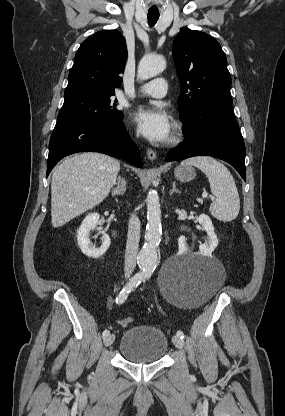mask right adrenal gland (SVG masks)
<instances>
[{"label": "right adrenal gland", "instance_id": "obj_1", "mask_svg": "<svg viewBox=\"0 0 285 416\" xmlns=\"http://www.w3.org/2000/svg\"><path fill=\"white\" fill-rule=\"evenodd\" d=\"M124 192H126V182L121 178V176H118L117 178V188H113L112 190V196H123Z\"/></svg>", "mask_w": 285, "mask_h": 416}]
</instances>
